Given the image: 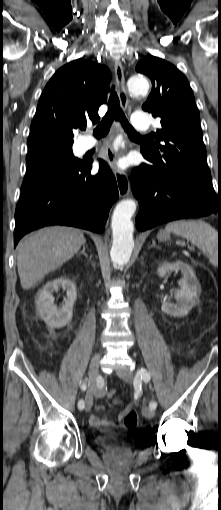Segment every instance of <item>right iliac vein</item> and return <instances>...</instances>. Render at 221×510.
<instances>
[{
    "instance_id": "1",
    "label": "right iliac vein",
    "mask_w": 221,
    "mask_h": 510,
    "mask_svg": "<svg viewBox=\"0 0 221 510\" xmlns=\"http://www.w3.org/2000/svg\"><path fill=\"white\" fill-rule=\"evenodd\" d=\"M100 357H101L100 354H96L91 359V362L89 365V370H88V374H89V378H90L91 382H94V380L96 379V377L98 375ZM93 392H94V388L91 387L88 390L87 395H86V411L87 412L90 411V409L93 405Z\"/></svg>"
}]
</instances>
